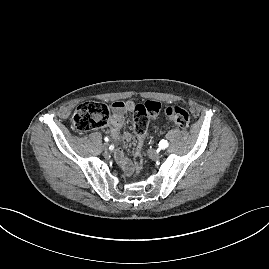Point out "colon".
Returning <instances> with one entry per match:
<instances>
[{"label": "colon", "mask_w": 269, "mask_h": 269, "mask_svg": "<svg viewBox=\"0 0 269 269\" xmlns=\"http://www.w3.org/2000/svg\"><path fill=\"white\" fill-rule=\"evenodd\" d=\"M160 110L161 105L156 101H146L145 103L135 106L133 128L138 139L134 156L136 169H140L144 163L142 150L149 120L151 117L156 116ZM165 115L171 123L180 128H187L189 125L190 114L181 106L172 105L166 107ZM109 116L110 110L106 104L100 102H85L75 109L70 124L75 132L85 133L105 126L109 120Z\"/></svg>", "instance_id": "obj_1"}]
</instances>
